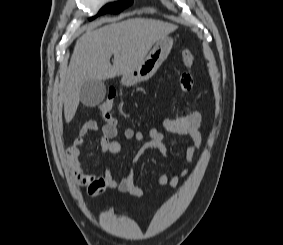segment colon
Listing matches in <instances>:
<instances>
[{"mask_svg": "<svg viewBox=\"0 0 283 245\" xmlns=\"http://www.w3.org/2000/svg\"><path fill=\"white\" fill-rule=\"evenodd\" d=\"M195 55L192 51L186 50L182 54V63L185 67H190L193 65L195 61ZM115 91L110 90L107 98L98 104L97 108L103 115L105 119H107L110 122H114V120L111 117V111L114 105V99H115Z\"/></svg>", "mask_w": 283, "mask_h": 245, "instance_id": "5ec220e1", "label": "colon"}]
</instances>
